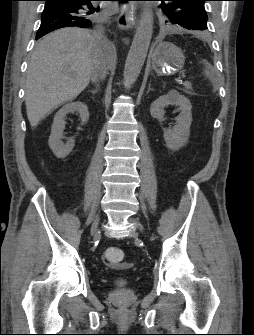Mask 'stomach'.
<instances>
[{"label":"stomach","mask_w":254,"mask_h":335,"mask_svg":"<svg viewBox=\"0 0 254 335\" xmlns=\"http://www.w3.org/2000/svg\"><path fill=\"white\" fill-rule=\"evenodd\" d=\"M185 57L182 50L170 42H160L152 52L151 65L160 76H168L182 69Z\"/></svg>","instance_id":"0dacf381"}]
</instances>
